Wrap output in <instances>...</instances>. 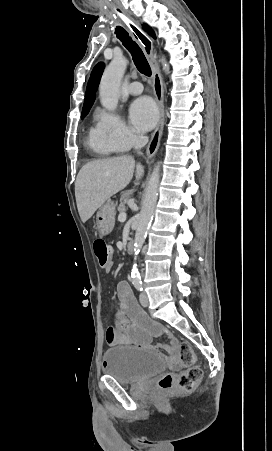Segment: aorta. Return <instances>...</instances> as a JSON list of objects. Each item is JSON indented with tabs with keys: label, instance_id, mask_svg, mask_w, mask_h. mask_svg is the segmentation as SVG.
Wrapping results in <instances>:
<instances>
[{
	"label": "aorta",
	"instance_id": "aorta-1",
	"mask_svg": "<svg viewBox=\"0 0 272 451\" xmlns=\"http://www.w3.org/2000/svg\"><path fill=\"white\" fill-rule=\"evenodd\" d=\"M160 62L163 66V70H165V72H169V66L166 60H164V58H161ZM127 64L128 60H126L124 56H120V58H113L109 66H107V68H105L103 72L99 86V96L101 106H103V108H107V110H115V108H117L119 86L123 78V74L126 70ZM159 182L160 166H155L151 174L149 184L146 188L141 212L140 214H138V227L136 229L134 237V259H136V255H138L144 243L146 231L154 214L158 198ZM131 277H133L134 281H139L140 279V273L137 269V263H134L132 267Z\"/></svg>",
	"mask_w": 272,
	"mask_h": 451
}]
</instances>
